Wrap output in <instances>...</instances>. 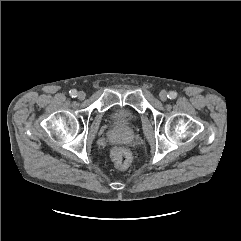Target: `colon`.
Masks as SVG:
<instances>
[{
    "instance_id": "5ec220e1",
    "label": "colon",
    "mask_w": 241,
    "mask_h": 241,
    "mask_svg": "<svg viewBox=\"0 0 241 241\" xmlns=\"http://www.w3.org/2000/svg\"><path fill=\"white\" fill-rule=\"evenodd\" d=\"M110 156L114 164L121 169L128 167L131 160L130 153L121 147H115L111 150Z\"/></svg>"
}]
</instances>
